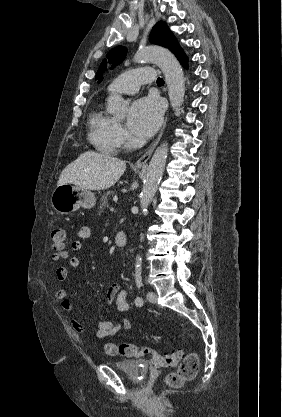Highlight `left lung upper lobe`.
I'll use <instances>...</instances> for the list:
<instances>
[{
	"mask_svg": "<svg viewBox=\"0 0 282 417\" xmlns=\"http://www.w3.org/2000/svg\"><path fill=\"white\" fill-rule=\"evenodd\" d=\"M150 41L154 44L166 47L171 51H174L177 47H179L175 36L170 31L166 23L162 21L158 22L153 27L150 34ZM126 52V48L123 46H117L108 52L106 57L108 58V62L112 64V68L124 60ZM106 67V60H103L95 77L98 82L102 81V74L106 70Z\"/></svg>",
	"mask_w": 282,
	"mask_h": 417,
	"instance_id": "5c2ea615",
	"label": "left lung upper lobe"
}]
</instances>
